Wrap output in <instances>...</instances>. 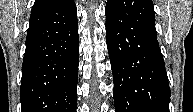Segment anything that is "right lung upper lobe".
<instances>
[{
	"mask_svg": "<svg viewBox=\"0 0 193 112\" xmlns=\"http://www.w3.org/2000/svg\"><path fill=\"white\" fill-rule=\"evenodd\" d=\"M54 1H56V0H35V3H34L32 10H31V13H34L38 10H41V9L49 6Z\"/></svg>",
	"mask_w": 193,
	"mask_h": 112,
	"instance_id": "1",
	"label": "right lung upper lobe"
}]
</instances>
